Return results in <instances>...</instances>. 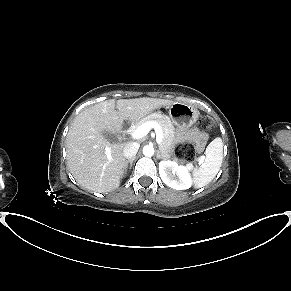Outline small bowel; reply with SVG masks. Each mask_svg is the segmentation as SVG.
Returning a JSON list of instances; mask_svg holds the SVG:
<instances>
[{"label":"small bowel","instance_id":"c3829d8e","mask_svg":"<svg viewBox=\"0 0 291 291\" xmlns=\"http://www.w3.org/2000/svg\"><path fill=\"white\" fill-rule=\"evenodd\" d=\"M193 136H194V138H195L199 143L202 142V138H201V136H200L198 133H195Z\"/></svg>","mask_w":291,"mask_h":291}]
</instances>
